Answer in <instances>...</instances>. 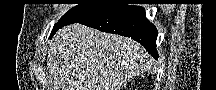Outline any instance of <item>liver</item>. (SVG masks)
<instances>
[{"label":"liver","mask_w":216,"mask_h":90,"mask_svg":"<svg viewBox=\"0 0 216 90\" xmlns=\"http://www.w3.org/2000/svg\"><path fill=\"white\" fill-rule=\"evenodd\" d=\"M48 58L50 74L64 84L62 90H122L149 64L146 50L131 38L82 24L62 28Z\"/></svg>","instance_id":"obj_1"}]
</instances>
